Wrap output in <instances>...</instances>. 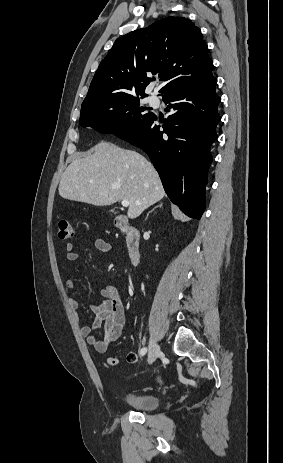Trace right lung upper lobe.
Returning <instances> with one entry per match:
<instances>
[{
  "label": "right lung upper lobe",
  "mask_w": 283,
  "mask_h": 463,
  "mask_svg": "<svg viewBox=\"0 0 283 463\" xmlns=\"http://www.w3.org/2000/svg\"><path fill=\"white\" fill-rule=\"evenodd\" d=\"M213 62L201 30L184 17H166L117 39L100 63L82 105L110 96H147L158 74L163 97L211 78Z\"/></svg>",
  "instance_id": "obj_1"
}]
</instances>
